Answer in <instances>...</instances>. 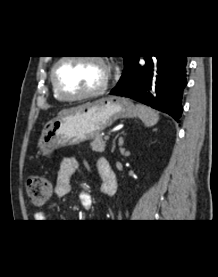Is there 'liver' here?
I'll return each instance as SVG.
<instances>
[{
  "label": "liver",
  "mask_w": 218,
  "mask_h": 277,
  "mask_svg": "<svg viewBox=\"0 0 218 277\" xmlns=\"http://www.w3.org/2000/svg\"><path fill=\"white\" fill-rule=\"evenodd\" d=\"M81 108H82V106L73 107V108H69V109H64V110H62L58 113V117H63V116L72 114V113L80 110Z\"/></svg>",
  "instance_id": "obj_1"
}]
</instances>
